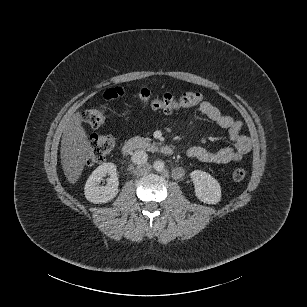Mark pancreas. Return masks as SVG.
Returning a JSON list of instances; mask_svg holds the SVG:
<instances>
[{
	"instance_id": "obj_1",
	"label": "pancreas",
	"mask_w": 307,
	"mask_h": 307,
	"mask_svg": "<svg viewBox=\"0 0 307 307\" xmlns=\"http://www.w3.org/2000/svg\"><path fill=\"white\" fill-rule=\"evenodd\" d=\"M147 143H150L151 142V139L149 137L145 138L144 139Z\"/></svg>"
}]
</instances>
